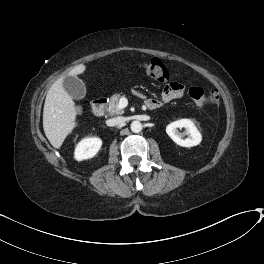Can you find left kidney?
Returning <instances> with one entry per match:
<instances>
[{
	"label": "left kidney",
	"mask_w": 264,
	"mask_h": 264,
	"mask_svg": "<svg viewBox=\"0 0 264 264\" xmlns=\"http://www.w3.org/2000/svg\"><path fill=\"white\" fill-rule=\"evenodd\" d=\"M182 128H185V134L189 135L185 139L183 138V134L178 131V129ZM166 133L176 144L182 147L197 146L202 140L201 133L190 119H180L170 123L166 127Z\"/></svg>",
	"instance_id": "5707ae66"
}]
</instances>
